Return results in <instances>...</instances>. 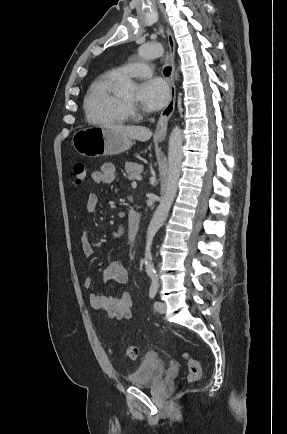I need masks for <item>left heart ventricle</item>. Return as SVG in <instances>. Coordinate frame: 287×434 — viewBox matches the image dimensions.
<instances>
[{"instance_id":"b2bd125f","label":"left heart ventricle","mask_w":287,"mask_h":434,"mask_svg":"<svg viewBox=\"0 0 287 434\" xmlns=\"http://www.w3.org/2000/svg\"><path fill=\"white\" fill-rule=\"evenodd\" d=\"M126 99H127V100H132V99H133V97H126Z\"/></svg>"}]
</instances>
